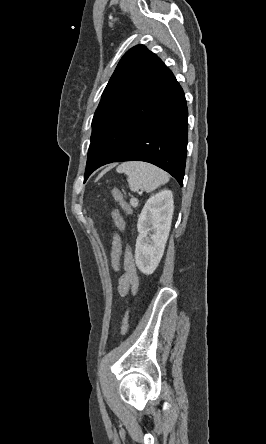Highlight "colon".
Returning <instances> with one entry per match:
<instances>
[{"label": "colon", "instance_id": "5ec220e1", "mask_svg": "<svg viewBox=\"0 0 266 444\" xmlns=\"http://www.w3.org/2000/svg\"><path fill=\"white\" fill-rule=\"evenodd\" d=\"M113 196H114L115 200L118 202V204L120 205V207L123 209V211L125 213H129L130 207L127 204V202L124 200L120 189L115 188L113 190ZM112 218H113L116 228L119 231L122 230L124 228V220H123V218L120 214V211L118 209H114L112 211ZM122 251H123V247H122L121 237H120L119 233L117 232L114 235L112 250H111V255H110L111 267L114 272H117L120 269L121 259H122ZM129 322H130V315H129V312L127 311L123 317V320H122V323L120 326L121 335H125L127 333L128 328H129Z\"/></svg>", "mask_w": 266, "mask_h": 444}]
</instances>
